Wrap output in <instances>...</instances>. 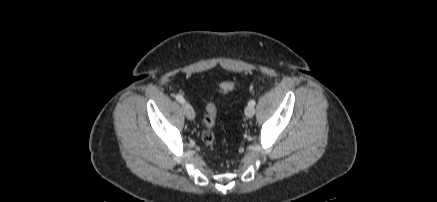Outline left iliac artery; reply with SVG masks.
I'll use <instances>...</instances> for the list:
<instances>
[{"label": "left iliac artery", "mask_w": 437, "mask_h": 202, "mask_svg": "<svg viewBox=\"0 0 437 202\" xmlns=\"http://www.w3.org/2000/svg\"><path fill=\"white\" fill-rule=\"evenodd\" d=\"M248 104H249L250 106H255L256 101H255V100H250Z\"/></svg>", "instance_id": "44dca946"}]
</instances>
